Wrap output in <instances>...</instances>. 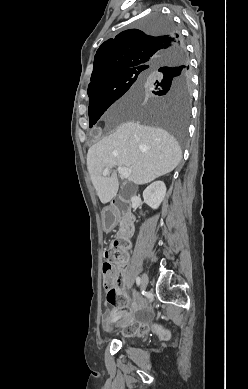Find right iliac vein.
Segmentation results:
<instances>
[{"instance_id":"obj_1","label":"right iliac vein","mask_w":248,"mask_h":389,"mask_svg":"<svg viewBox=\"0 0 248 389\" xmlns=\"http://www.w3.org/2000/svg\"><path fill=\"white\" fill-rule=\"evenodd\" d=\"M147 284H148V276H147L146 274H143V275H142V279H141V284H140L141 290H145ZM128 318H129V316H127V317H125L124 319L118 321V324L123 323V322L126 321Z\"/></svg>"}]
</instances>
